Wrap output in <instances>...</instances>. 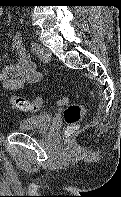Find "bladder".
<instances>
[{"label": "bladder", "instance_id": "1", "mask_svg": "<svg viewBox=\"0 0 121 197\" xmlns=\"http://www.w3.org/2000/svg\"><path fill=\"white\" fill-rule=\"evenodd\" d=\"M52 116L48 112H42L23 120L17 127L20 132H44L50 128Z\"/></svg>", "mask_w": 121, "mask_h": 197}]
</instances>
